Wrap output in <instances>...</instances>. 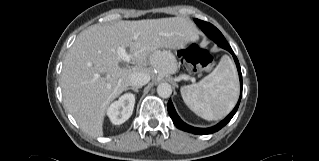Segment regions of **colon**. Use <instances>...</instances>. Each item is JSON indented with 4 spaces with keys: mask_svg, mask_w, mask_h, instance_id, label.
<instances>
[{
    "mask_svg": "<svg viewBox=\"0 0 319 161\" xmlns=\"http://www.w3.org/2000/svg\"><path fill=\"white\" fill-rule=\"evenodd\" d=\"M178 54L182 65L190 73L208 68L213 60L211 54L196 43L180 49Z\"/></svg>",
    "mask_w": 319,
    "mask_h": 161,
    "instance_id": "obj_1",
    "label": "colon"
}]
</instances>
